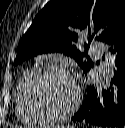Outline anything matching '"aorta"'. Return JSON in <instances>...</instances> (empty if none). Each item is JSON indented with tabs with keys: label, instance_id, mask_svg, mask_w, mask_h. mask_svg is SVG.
I'll return each instance as SVG.
<instances>
[{
	"label": "aorta",
	"instance_id": "obj_1",
	"mask_svg": "<svg viewBox=\"0 0 125 128\" xmlns=\"http://www.w3.org/2000/svg\"><path fill=\"white\" fill-rule=\"evenodd\" d=\"M114 61H115V56L109 55L107 57L106 63L104 64V70H103V75H102L104 87L108 86L111 76L113 75V71L115 67Z\"/></svg>",
	"mask_w": 125,
	"mask_h": 128
}]
</instances>
